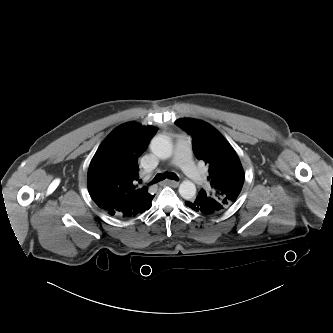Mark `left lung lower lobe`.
Returning a JSON list of instances; mask_svg holds the SVG:
<instances>
[{
	"instance_id": "1",
	"label": "left lung lower lobe",
	"mask_w": 333,
	"mask_h": 333,
	"mask_svg": "<svg viewBox=\"0 0 333 333\" xmlns=\"http://www.w3.org/2000/svg\"><path fill=\"white\" fill-rule=\"evenodd\" d=\"M185 204L195 212L203 213L205 215L222 212L221 204L216 199L207 196L203 192L199 193L198 196L189 199Z\"/></svg>"
}]
</instances>
